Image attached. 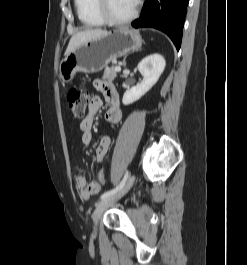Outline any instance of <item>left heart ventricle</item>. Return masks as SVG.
<instances>
[{
  "instance_id": "left-heart-ventricle-1",
  "label": "left heart ventricle",
  "mask_w": 247,
  "mask_h": 265,
  "mask_svg": "<svg viewBox=\"0 0 247 265\" xmlns=\"http://www.w3.org/2000/svg\"><path fill=\"white\" fill-rule=\"evenodd\" d=\"M136 0H109V8L116 18H125L131 14Z\"/></svg>"
}]
</instances>
